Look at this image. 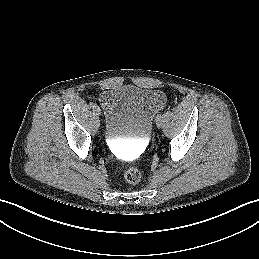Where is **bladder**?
Returning <instances> with one entry per match:
<instances>
[{"mask_svg":"<svg viewBox=\"0 0 259 259\" xmlns=\"http://www.w3.org/2000/svg\"><path fill=\"white\" fill-rule=\"evenodd\" d=\"M157 106V95L153 91L124 88L107 93L105 96L107 135L112 138L148 137L152 115Z\"/></svg>","mask_w":259,"mask_h":259,"instance_id":"obj_1","label":"bladder"}]
</instances>
